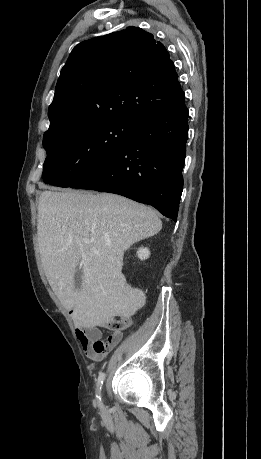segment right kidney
I'll return each instance as SVG.
<instances>
[{"mask_svg":"<svg viewBox=\"0 0 261 459\" xmlns=\"http://www.w3.org/2000/svg\"><path fill=\"white\" fill-rule=\"evenodd\" d=\"M150 255V251L148 248H139L138 251H137V256L140 260H145L149 257Z\"/></svg>","mask_w":261,"mask_h":459,"instance_id":"right-kidney-1","label":"right kidney"}]
</instances>
